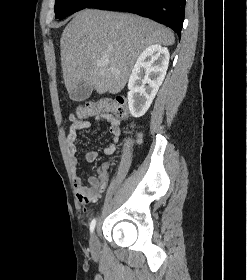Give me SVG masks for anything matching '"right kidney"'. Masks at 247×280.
I'll return each mask as SVG.
<instances>
[{
  "label": "right kidney",
  "mask_w": 247,
  "mask_h": 280,
  "mask_svg": "<svg viewBox=\"0 0 247 280\" xmlns=\"http://www.w3.org/2000/svg\"><path fill=\"white\" fill-rule=\"evenodd\" d=\"M169 58L168 49L158 44L140 53L128 82V105L133 117H141L149 109L165 78Z\"/></svg>",
  "instance_id": "right-kidney-1"
}]
</instances>
